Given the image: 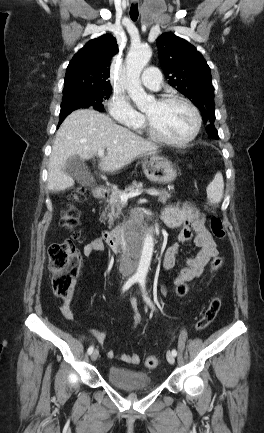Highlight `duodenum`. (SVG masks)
Here are the masks:
<instances>
[{"mask_svg":"<svg viewBox=\"0 0 264 433\" xmlns=\"http://www.w3.org/2000/svg\"><path fill=\"white\" fill-rule=\"evenodd\" d=\"M93 197L97 200H103L106 197V193L101 188L93 189ZM155 233V227L149 229L148 234L153 235ZM107 245L113 250H123L122 251V269L130 273L132 271V266L130 260L134 257L131 250L126 249L124 240V225L119 226L114 230H105L102 234Z\"/></svg>","mask_w":264,"mask_h":433,"instance_id":"obj_1","label":"duodenum"}]
</instances>
